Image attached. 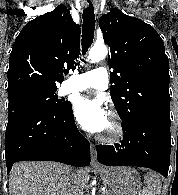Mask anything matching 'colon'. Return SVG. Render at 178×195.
<instances>
[{
    "instance_id": "colon-1",
    "label": "colon",
    "mask_w": 178,
    "mask_h": 195,
    "mask_svg": "<svg viewBox=\"0 0 178 195\" xmlns=\"http://www.w3.org/2000/svg\"><path fill=\"white\" fill-rule=\"evenodd\" d=\"M142 195H153L151 192L145 191Z\"/></svg>"
}]
</instances>
